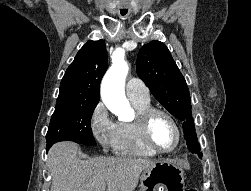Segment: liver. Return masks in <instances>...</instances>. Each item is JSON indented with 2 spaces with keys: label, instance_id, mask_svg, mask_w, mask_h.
I'll use <instances>...</instances> for the list:
<instances>
[{
  "label": "liver",
  "instance_id": "liver-1",
  "mask_svg": "<svg viewBox=\"0 0 251 191\" xmlns=\"http://www.w3.org/2000/svg\"><path fill=\"white\" fill-rule=\"evenodd\" d=\"M81 149L74 141H58L48 151L51 169L50 191H133L140 173L151 167V159L134 157H91L80 159ZM107 185V187H106Z\"/></svg>",
  "mask_w": 251,
  "mask_h": 191
}]
</instances>
